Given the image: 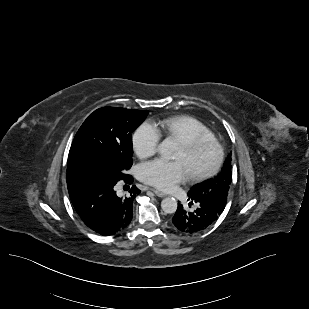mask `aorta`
<instances>
[{
	"label": "aorta",
	"instance_id": "aorta-1",
	"mask_svg": "<svg viewBox=\"0 0 309 309\" xmlns=\"http://www.w3.org/2000/svg\"><path fill=\"white\" fill-rule=\"evenodd\" d=\"M159 149L163 154L167 156H173L174 152L176 151V144L172 139L166 138L160 143ZM161 208L166 214L175 213L177 210L176 199L173 197L164 198L161 202Z\"/></svg>",
	"mask_w": 309,
	"mask_h": 309
}]
</instances>
